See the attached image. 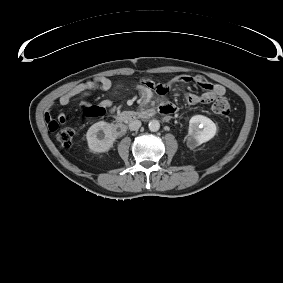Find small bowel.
Instances as JSON below:
<instances>
[{"mask_svg": "<svg viewBox=\"0 0 283 283\" xmlns=\"http://www.w3.org/2000/svg\"><path fill=\"white\" fill-rule=\"evenodd\" d=\"M195 82L203 92L200 94L196 93H186L185 97L189 104H207L212 102L217 97H222L226 94V89L220 84H212L205 77L198 75L195 77H190L187 75H180L175 77L170 83H156L149 78H143L140 82V90L145 94L146 97H151V90L154 89L155 92L160 96L161 113L167 114V109L174 108L173 105L167 99V93L169 91L170 84H190ZM113 86L110 79L99 76L92 79L86 80L83 83L75 85L68 91L64 92L59 97V104L61 106H69L75 98H82L84 103L82 105V110L84 114L88 117L101 116L105 112V108L111 107V102L109 100H104L99 106H90L86 99L96 91H107ZM66 121V114L60 112L56 117L51 116L49 113L45 114V122L47 127L52 131L55 130L59 123H64Z\"/></svg>", "mask_w": 283, "mask_h": 283, "instance_id": "1", "label": "small bowel"}]
</instances>
